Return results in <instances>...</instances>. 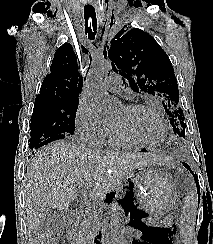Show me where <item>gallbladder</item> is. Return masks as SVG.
I'll list each match as a JSON object with an SVG mask.
<instances>
[{"label":"gallbladder","instance_id":"bac80fb5","mask_svg":"<svg viewBox=\"0 0 213 244\" xmlns=\"http://www.w3.org/2000/svg\"><path fill=\"white\" fill-rule=\"evenodd\" d=\"M67 225V213L51 210L41 225L42 232L61 233Z\"/></svg>","mask_w":213,"mask_h":244}]
</instances>
